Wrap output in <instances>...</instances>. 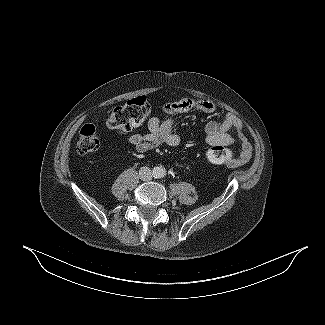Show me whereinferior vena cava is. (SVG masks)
I'll return each mask as SVG.
<instances>
[{
	"label": "inferior vena cava",
	"instance_id": "1",
	"mask_svg": "<svg viewBox=\"0 0 325 325\" xmlns=\"http://www.w3.org/2000/svg\"><path fill=\"white\" fill-rule=\"evenodd\" d=\"M152 171L149 167H141L139 170V177L143 181H150L152 179Z\"/></svg>",
	"mask_w": 325,
	"mask_h": 325
}]
</instances>
